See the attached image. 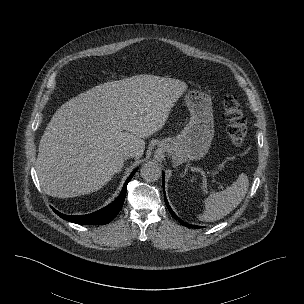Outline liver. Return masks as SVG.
<instances>
[{"instance_id": "obj_1", "label": "liver", "mask_w": 304, "mask_h": 304, "mask_svg": "<svg viewBox=\"0 0 304 304\" xmlns=\"http://www.w3.org/2000/svg\"><path fill=\"white\" fill-rule=\"evenodd\" d=\"M178 79L141 74L97 85L64 103L40 140L36 171L44 192L69 198L95 192L142 157L147 138L166 123L187 90Z\"/></svg>"}]
</instances>
